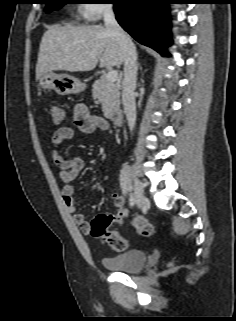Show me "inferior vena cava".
<instances>
[{
    "label": "inferior vena cava",
    "instance_id": "obj_1",
    "mask_svg": "<svg viewBox=\"0 0 236 321\" xmlns=\"http://www.w3.org/2000/svg\"><path fill=\"white\" fill-rule=\"evenodd\" d=\"M104 23L106 29L116 37L124 51L125 59L124 78L122 81V103L128 126L130 131H132L136 123V105L134 96L138 68L136 47L130 37L116 21L111 5H107L104 9Z\"/></svg>",
    "mask_w": 236,
    "mask_h": 321
}]
</instances>
